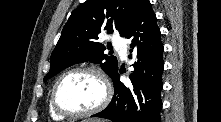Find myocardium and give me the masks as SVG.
I'll use <instances>...</instances> for the list:
<instances>
[{"label": "myocardium", "instance_id": "myocardium-1", "mask_svg": "<svg viewBox=\"0 0 221 122\" xmlns=\"http://www.w3.org/2000/svg\"><path fill=\"white\" fill-rule=\"evenodd\" d=\"M76 73H89V74L96 76L100 80L102 87H103V97L101 101L93 108L85 110V111H80V112H73V111H69V110L62 108L57 100L58 88L60 84L62 83V81L66 79L67 77H69L70 75L76 74ZM111 94H112V91H111L110 83L108 79L106 78V76L100 70L94 67H90V66H80V67H75L66 71L56 80L51 91L50 102H51L52 108L59 115L63 117H70V118H81V117L94 115L100 112L101 110H103L108 105L111 99Z\"/></svg>", "mask_w": 221, "mask_h": 122}]
</instances>
